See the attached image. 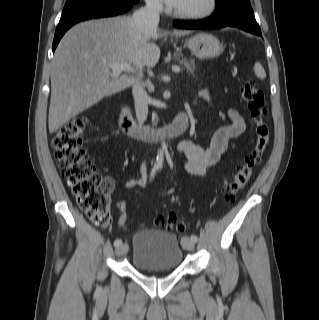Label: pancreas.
<instances>
[{"label": "pancreas", "instance_id": "pancreas-1", "mask_svg": "<svg viewBox=\"0 0 319 320\" xmlns=\"http://www.w3.org/2000/svg\"><path fill=\"white\" fill-rule=\"evenodd\" d=\"M173 60L179 61L182 64V66L187 69L188 73H194V71L196 69V65H195L194 60H192V59L188 60L180 53H175L173 55Z\"/></svg>", "mask_w": 319, "mask_h": 320}]
</instances>
